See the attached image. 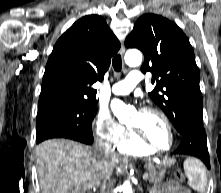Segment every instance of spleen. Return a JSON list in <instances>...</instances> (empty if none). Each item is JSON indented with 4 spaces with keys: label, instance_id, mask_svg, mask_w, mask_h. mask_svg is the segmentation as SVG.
Listing matches in <instances>:
<instances>
[{
    "label": "spleen",
    "instance_id": "spleen-1",
    "mask_svg": "<svg viewBox=\"0 0 221 193\" xmlns=\"http://www.w3.org/2000/svg\"><path fill=\"white\" fill-rule=\"evenodd\" d=\"M184 170L189 186L197 192L204 193L207 186V176L203 164L196 158H188L184 162Z\"/></svg>",
    "mask_w": 221,
    "mask_h": 193
}]
</instances>
